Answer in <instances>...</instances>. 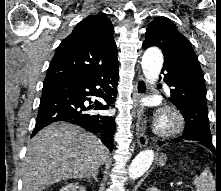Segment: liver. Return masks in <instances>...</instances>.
<instances>
[{"instance_id":"6515ba94","label":"liver","mask_w":221,"mask_h":191,"mask_svg":"<svg viewBox=\"0 0 221 191\" xmlns=\"http://www.w3.org/2000/svg\"><path fill=\"white\" fill-rule=\"evenodd\" d=\"M107 158L106 147L92 133L66 122L53 123L28 145L23 191H43L61 180L87 177L98 172Z\"/></svg>"}]
</instances>
